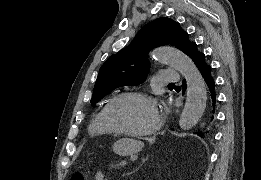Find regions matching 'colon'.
Returning a JSON list of instances; mask_svg holds the SVG:
<instances>
[{
  "label": "colon",
  "mask_w": 261,
  "mask_h": 180,
  "mask_svg": "<svg viewBox=\"0 0 261 180\" xmlns=\"http://www.w3.org/2000/svg\"><path fill=\"white\" fill-rule=\"evenodd\" d=\"M72 180H84V175L82 173H74Z\"/></svg>",
  "instance_id": "1"
}]
</instances>
